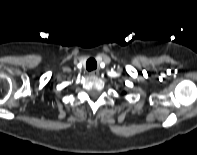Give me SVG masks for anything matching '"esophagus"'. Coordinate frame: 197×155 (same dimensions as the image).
I'll list each match as a JSON object with an SVG mask.
<instances>
[{"label":"esophagus","instance_id":"1","mask_svg":"<svg viewBox=\"0 0 197 155\" xmlns=\"http://www.w3.org/2000/svg\"><path fill=\"white\" fill-rule=\"evenodd\" d=\"M92 77H98L99 71L98 70H93L89 73Z\"/></svg>","mask_w":197,"mask_h":155}]
</instances>
